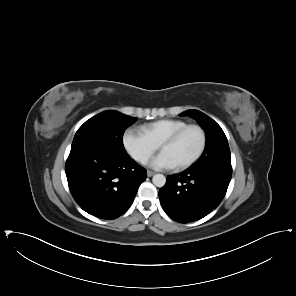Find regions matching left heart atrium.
<instances>
[{
    "label": "left heart atrium",
    "mask_w": 296,
    "mask_h": 296,
    "mask_svg": "<svg viewBox=\"0 0 296 296\" xmlns=\"http://www.w3.org/2000/svg\"><path fill=\"white\" fill-rule=\"evenodd\" d=\"M170 157L166 153H161L157 157H155L151 162L150 165L156 169L163 170V169H170L175 166Z\"/></svg>",
    "instance_id": "left-heart-atrium-1"
}]
</instances>
